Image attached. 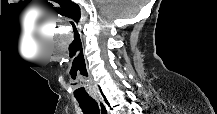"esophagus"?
<instances>
[{"mask_svg": "<svg viewBox=\"0 0 217 114\" xmlns=\"http://www.w3.org/2000/svg\"><path fill=\"white\" fill-rule=\"evenodd\" d=\"M95 99H96V101H97V103L99 105L100 113L104 114L106 112V109L104 107L105 103H104L103 98L101 96L97 95V96H95Z\"/></svg>", "mask_w": 217, "mask_h": 114, "instance_id": "1", "label": "esophagus"}]
</instances>
